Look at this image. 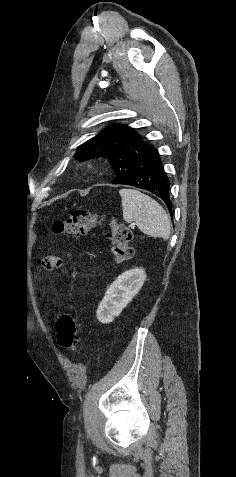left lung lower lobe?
<instances>
[{"label": "left lung lower lobe", "mask_w": 236, "mask_h": 477, "mask_svg": "<svg viewBox=\"0 0 236 477\" xmlns=\"http://www.w3.org/2000/svg\"><path fill=\"white\" fill-rule=\"evenodd\" d=\"M119 184L147 190L161 198L170 214L169 180L164 172L158 150L149 146L133 163L128 176Z\"/></svg>", "instance_id": "1"}]
</instances>
